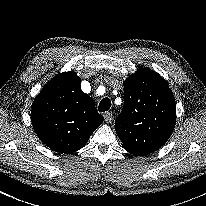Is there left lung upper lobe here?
Instances as JSON below:
<instances>
[{
    "label": "left lung upper lobe",
    "mask_w": 206,
    "mask_h": 206,
    "mask_svg": "<svg viewBox=\"0 0 206 206\" xmlns=\"http://www.w3.org/2000/svg\"><path fill=\"white\" fill-rule=\"evenodd\" d=\"M125 101L115 122L126 151L147 155L159 149L176 123L174 96L166 81L149 68H142L124 81Z\"/></svg>",
    "instance_id": "obj_1"
}]
</instances>
